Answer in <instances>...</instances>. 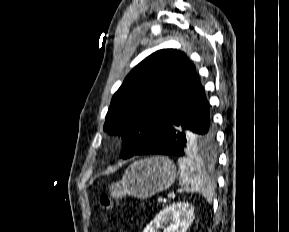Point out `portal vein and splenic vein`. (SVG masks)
Segmentation results:
<instances>
[{
    "label": "portal vein and splenic vein",
    "mask_w": 289,
    "mask_h": 232,
    "mask_svg": "<svg viewBox=\"0 0 289 232\" xmlns=\"http://www.w3.org/2000/svg\"><path fill=\"white\" fill-rule=\"evenodd\" d=\"M177 191H178L179 193H181V192L183 191V189H182V188H179ZM163 200H164L163 197H159V198L157 199L158 203H162Z\"/></svg>",
    "instance_id": "portal-vein-and-splenic-vein-1"
}]
</instances>
